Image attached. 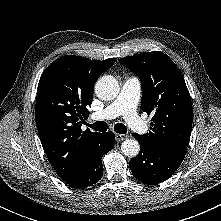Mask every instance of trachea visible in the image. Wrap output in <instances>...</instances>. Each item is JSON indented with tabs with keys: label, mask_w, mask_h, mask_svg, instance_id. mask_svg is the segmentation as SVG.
Wrapping results in <instances>:
<instances>
[{
	"label": "trachea",
	"mask_w": 221,
	"mask_h": 221,
	"mask_svg": "<svg viewBox=\"0 0 221 221\" xmlns=\"http://www.w3.org/2000/svg\"><path fill=\"white\" fill-rule=\"evenodd\" d=\"M87 126L92 128L93 130L99 131V132H105L108 128L107 123L104 121H97L94 124H87ZM114 130H115V132H117L119 134H125L127 132L126 126L122 123L115 124Z\"/></svg>",
	"instance_id": "trachea-1"
}]
</instances>
